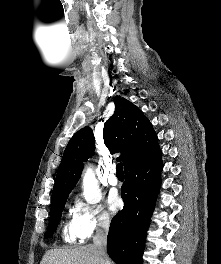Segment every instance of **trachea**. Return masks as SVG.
Listing matches in <instances>:
<instances>
[{"instance_id": "1", "label": "trachea", "mask_w": 221, "mask_h": 264, "mask_svg": "<svg viewBox=\"0 0 221 264\" xmlns=\"http://www.w3.org/2000/svg\"><path fill=\"white\" fill-rule=\"evenodd\" d=\"M116 170H117V175H124L123 164L122 163H118L117 164Z\"/></svg>"}]
</instances>
